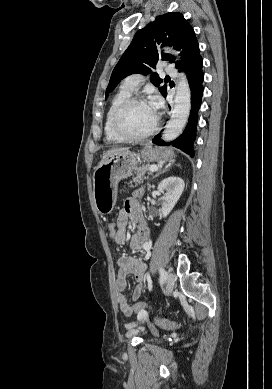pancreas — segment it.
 Masks as SVG:
<instances>
[{"label": "pancreas", "instance_id": "cf45deb5", "mask_svg": "<svg viewBox=\"0 0 272 389\" xmlns=\"http://www.w3.org/2000/svg\"><path fill=\"white\" fill-rule=\"evenodd\" d=\"M150 167L151 166L149 164H147V165H143L142 167H140L137 170L136 175L132 178V181L130 182L132 184V186H133V184L141 183L144 178L145 179L148 178V177H145V173L149 171Z\"/></svg>", "mask_w": 272, "mask_h": 389}]
</instances>
